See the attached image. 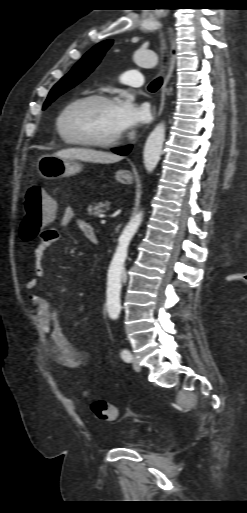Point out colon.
<instances>
[{"label": "colon", "instance_id": "obj_1", "mask_svg": "<svg viewBox=\"0 0 247 513\" xmlns=\"http://www.w3.org/2000/svg\"><path fill=\"white\" fill-rule=\"evenodd\" d=\"M23 210L19 234L24 242H28L37 238L42 230L53 222L58 207L51 195L42 187L35 185L30 187L24 196ZM91 410L97 418L106 421H113L118 415L116 407L102 399H94Z\"/></svg>", "mask_w": 247, "mask_h": 513}]
</instances>
